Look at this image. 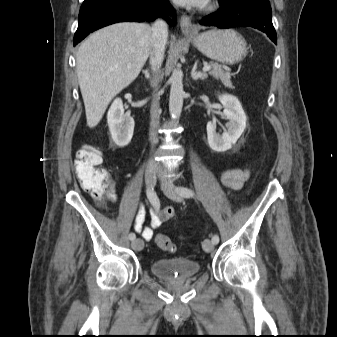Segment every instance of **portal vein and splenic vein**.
<instances>
[{
  "label": "portal vein and splenic vein",
  "mask_w": 337,
  "mask_h": 337,
  "mask_svg": "<svg viewBox=\"0 0 337 337\" xmlns=\"http://www.w3.org/2000/svg\"><path fill=\"white\" fill-rule=\"evenodd\" d=\"M212 69L211 66H204L203 67V71L207 72V71H210Z\"/></svg>",
  "instance_id": "obj_1"
}]
</instances>
